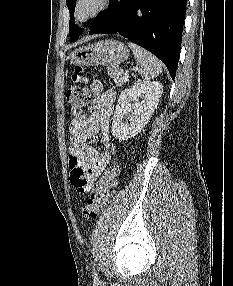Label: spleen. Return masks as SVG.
Returning <instances> with one entry per match:
<instances>
[{"instance_id":"obj_1","label":"spleen","mask_w":233,"mask_h":286,"mask_svg":"<svg viewBox=\"0 0 233 286\" xmlns=\"http://www.w3.org/2000/svg\"><path fill=\"white\" fill-rule=\"evenodd\" d=\"M128 46L132 49L144 81H149L162 72L163 65L153 54L132 42Z\"/></svg>"}]
</instances>
